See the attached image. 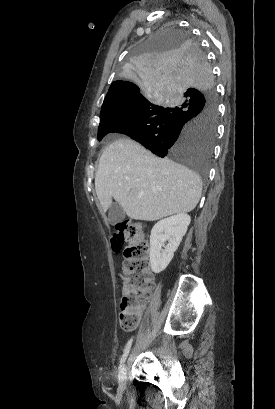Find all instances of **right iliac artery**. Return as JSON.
Instances as JSON below:
<instances>
[{
    "instance_id": "right-iliac-artery-1",
    "label": "right iliac artery",
    "mask_w": 275,
    "mask_h": 409,
    "mask_svg": "<svg viewBox=\"0 0 275 409\" xmlns=\"http://www.w3.org/2000/svg\"><path fill=\"white\" fill-rule=\"evenodd\" d=\"M132 341H133V339L131 338V339L128 341V343L126 344V346H125L123 355H122V357H121V359H120V365H119V368H120V369L122 368V366H123V364H124V362H125V360H126L128 354H129V351H130V348H131V345H132Z\"/></svg>"
}]
</instances>
